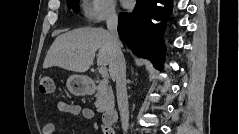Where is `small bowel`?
<instances>
[{"instance_id": "1", "label": "small bowel", "mask_w": 239, "mask_h": 134, "mask_svg": "<svg viewBox=\"0 0 239 134\" xmlns=\"http://www.w3.org/2000/svg\"><path fill=\"white\" fill-rule=\"evenodd\" d=\"M56 108L59 112L68 113L71 115H81L84 119H92L94 112L92 108L88 106H81L73 103L58 102ZM56 125L54 123H48L44 127V134H55Z\"/></svg>"}]
</instances>
